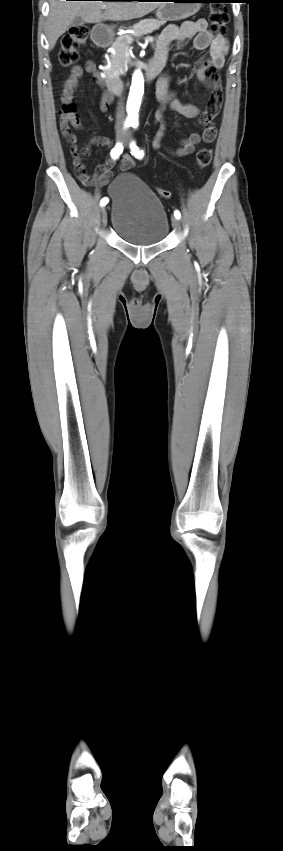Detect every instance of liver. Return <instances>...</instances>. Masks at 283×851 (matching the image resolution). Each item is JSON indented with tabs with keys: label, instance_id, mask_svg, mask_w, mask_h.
I'll list each match as a JSON object with an SVG mask.
<instances>
[{
	"label": "liver",
	"instance_id": "liver-1",
	"mask_svg": "<svg viewBox=\"0 0 283 851\" xmlns=\"http://www.w3.org/2000/svg\"><path fill=\"white\" fill-rule=\"evenodd\" d=\"M162 4V2L138 1L50 0V11L45 28L49 48H54L58 38L69 29L75 17H81L88 23H100L106 20L126 21L143 17ZM102 9H105L104 13Z\"/></svg>",
	"mask_w": 283,
	"mask_h": 851
}]
</instances>
